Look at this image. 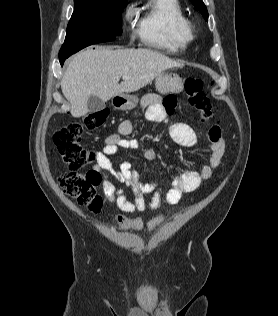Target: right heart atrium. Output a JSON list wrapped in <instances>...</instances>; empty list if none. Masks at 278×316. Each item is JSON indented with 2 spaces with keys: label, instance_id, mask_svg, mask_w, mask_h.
Listing matches in <instances>:
<instances>
[{
  "label": "right heart atrium",
  "instance_id": "right-heart-atrium-1",
  "mask_svg": "<svg viewBox=\"0 0 278 316\" xmlns=\"http://www.w3.org/2000/svg\"><path fill=\"white\" fill-rule=\"evenodd\" d=\"M135 17V9L133 5H128L124 8L122 19L125 23L131 22Z\"/></svg>",
  "mask_w": 278,
  "mask_h": 316
}]
</instances>
